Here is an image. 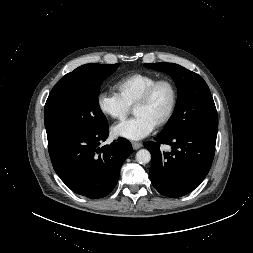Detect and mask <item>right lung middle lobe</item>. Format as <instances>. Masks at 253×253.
<instances>
[{
  "label": "right lung middle lobe",
  "instance_id": "1",
  "mask_svg": "<svg viewBox=\"0 0 253 253\" xmlns=\"http://www.w3.org/2000/svg\"><path fill=\"white\" fill-rule=\"evenodd\" d=\"M117 64H85L61 78L50 92L44 109L47 138L74 131H94L108 124L98 93Z\"/></svg>",
  "mask_w": 253,
  "mask_h": 253
}]
</instances>
